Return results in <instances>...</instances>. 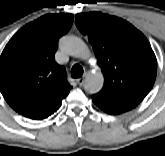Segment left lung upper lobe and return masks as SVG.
Listing matches in <instances>:
<instances>
[{
    "label": "left lung upper lobe",
    "instance_id": "5c2ea615",
    "mask_svg": "<svg viewBox=\"0 0 165 156\" xmlns=\"http://www.w3.org/2000/svg\"><path fill=\"white\" fill-rule=\"evenodd\" d=\"M75 24L88 36L105 78L95 94L129 111L150 92L157 60L146 37L129 22L100 12L76 15Z\"/></svg>",
    "mask_w": 165,
    "mask_h": 156
}]
</instances>
